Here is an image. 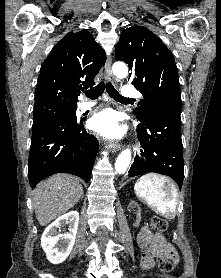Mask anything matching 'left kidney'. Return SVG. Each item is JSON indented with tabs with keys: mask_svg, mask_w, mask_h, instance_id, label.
I'll return each mask as SVG.
<instances>
[{
	"mask_svg": "<svg viewBox=\"0 0 221 278\" xmlns=\"http://www.w3.org/2000/svg\"><path fill=\"white\" fill-rule=\"evenodd\" d=\"M130 206H134V207L138 208V211H137V222H139L140 219H141V210L139 208V205L135 201H131L130 202Z\"/></svg>",
	"mask_w": 221,
	"mask_h": 278,
	"instance_id": "obj_1",
	"label": "left kidney"
}]
</instances>
